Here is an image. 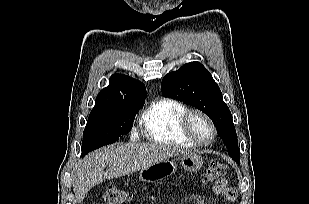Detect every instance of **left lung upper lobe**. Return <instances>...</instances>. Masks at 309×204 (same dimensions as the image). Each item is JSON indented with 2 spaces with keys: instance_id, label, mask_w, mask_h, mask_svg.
Here are the masks:
<instances>
[{
  "instance_id": "obj_1",
  "label": "left lung upper lobe",
  "mask_w": 309,
  "mask_h": 204,
  "mask_svg": "<svg viewBox=\"0 0 309 204\" xmlns=\"http://www.w3.org/2000/svg\"><path fill=\"white\" fill-rule=\"evenodd\" d=\"M161 91L163 96L183 101L208 115L216 129L221 131L219 136L226 144L229 156L240 162L231 112L217 83L202 64L190 62L168 73L162 80Z\"/></svg>"
}]
</instances>
